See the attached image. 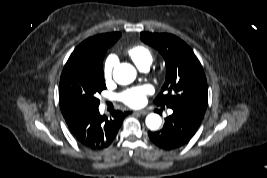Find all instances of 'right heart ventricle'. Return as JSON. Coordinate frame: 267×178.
<instances>
[{
  "instance_id": "e07e8e85",
  "label": "right heart ventricle",
  "mask_w": 267,
  "mask_h": 178,
  "mask_svg": "<svg viewBox=\"0 0 267 178\" xmlns=\"http://www.w3.org/2000/svg\"><path fill=\"white\" fill-rule=\"evenodd\" d=\"M128 55L139 68L150 65L153 60L151 51L143 45L133 46L128 50Z\"/></svg>"
}]
</instances>
